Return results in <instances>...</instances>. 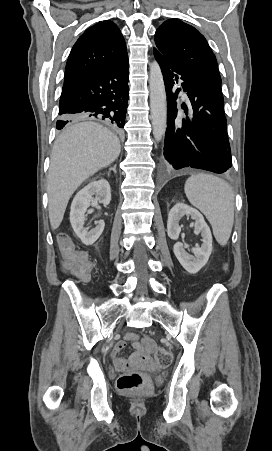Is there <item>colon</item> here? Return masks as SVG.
<instances>
[{
    "instance_id": "1",
    "label": "colon",
    "mask_w": 272,
    "mask_h": 451,
    "mask_svg": "<svg viewBox=\"0 0 272 451\" xmlns=\"http://www.w3.org/2000/svg\"><path fill=\"white\" fill-rule=\"evenodd\" d=\"M57 243L63 250L60 253V258L66 260L61 264V269L63 271H68L70 268L73 271H80L81 278H87L89 276L90 264L88 263L87 251H82L81 247H72L69 237L64 234H59L57 237ZM124 348L123 344L116 346V350H122ZM152 354V367H157L159 369H164L169 366L172 361V356L169 351H164L161 345H156L155 342H146L145 350L141 353L144 359H147ZM138 356L133 359L127 358H112V367H122V374L120 375L117 386L121 390L127 391H137L144 388H149L151 385V380L149 376L140 370H135V361Z\"/></svg>"
}]
</instances>
